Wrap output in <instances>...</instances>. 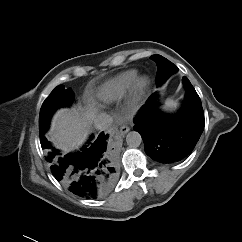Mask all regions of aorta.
Segmentation results:
<instances>
[{
	"label": "aorta",
	"instance_id": "obj_1",
	"mask_svg": "<svg viewBox=\"0 0 242 242\" xmlns=\"http://www.w3.org/2000/svg\"><path fill=\"white\" fill-rule=\"evenodd\" d=\"M127 145L136 148L142 143V137L137 131H131L126 136Z\"/></svg>",
	"mask_w": 242,
	"mask_h": 242
}]
</instances>
